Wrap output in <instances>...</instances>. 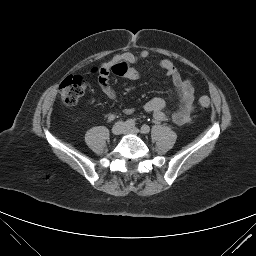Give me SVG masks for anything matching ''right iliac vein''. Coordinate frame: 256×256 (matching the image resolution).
Instances as JSON below:
<instances>
[{"label":"right iliac vein","mask_w":256,"mask_h":256,"mask_svg":"<svg viewBox=\"0 0 256 256\" xmlns=\"http://www.w3.org/2000/svg\"><path fill=\"white\" fill-rule=\"evenodd\" d=\"M125 128H126L125 123H123V122H117V123H115L114 126L112 127V133H113L114 135H120V134H122V133L124 132Z\"/></svg>","instance_id":"63e3f726"}]
</instances>
